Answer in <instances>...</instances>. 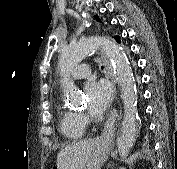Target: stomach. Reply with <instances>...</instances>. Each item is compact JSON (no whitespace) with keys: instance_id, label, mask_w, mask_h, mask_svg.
I'll use <instances>...</instances> for the list:
<instances>
[{"instance_id":"obj_1","label":"stomach","mask_w":177,"mask_h":169,"mask_svg":"<svg viewBox=\"0 0 177 169\" xmlns=\"http://www.w3.org/2000/svg\"><path fill=\"white\" fill-rule=\"evenodd\" d=\"M110 151L109 142H99L84 169H101Z\"/></svg>"}]
</instances>
